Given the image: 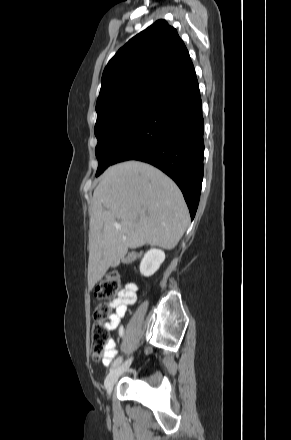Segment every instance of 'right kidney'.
<instances>
[{"instance_id": "obj_1", "label": "right kidney", "mask_w": 291, "mask_h": 440, "mask_svg": "<svg viewBox=\"0 0 291 440\" xmlns=\"http://www.w3.org/2000/svg\"><path fill=\"white\" fill-rule=\"evenodd\" d=\"M165 260V253L156 248L147 251L140 263V272L142 275L149 277L153 275Z\"/></svg>"}]
</instances>
